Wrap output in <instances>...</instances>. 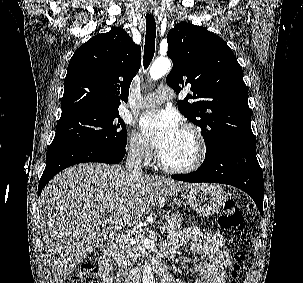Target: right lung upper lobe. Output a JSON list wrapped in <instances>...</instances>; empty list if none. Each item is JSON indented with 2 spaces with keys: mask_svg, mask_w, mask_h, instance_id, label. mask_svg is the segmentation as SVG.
Wrapping results in <instances>:
<instances>
[{
  "mask_svg": "<svg viewBox=\"0 0 303 283\" xmlns=\"http://www.w3.org/2000/svg\"><path fill=\"white\" fill-rule=\"evenodd\" d=\"M141 48L121 28L94 36L72 56L64 80L61 116L118 112L140 68Z\"/></svg>",
  "mask_w": 303,
  "mask_h": 283,
  "instance_id": "right-lung-upper-lobe-1",
  "label": "right lung upper lobe"
}]
</instances>
